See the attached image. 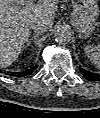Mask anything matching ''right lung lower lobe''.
<instances>
[{"label": "right lung lower lobe", "mask_w": 100, "mask_h": 118, "mask_svg": "<svg viewBox=\"0 0 100 118\" xmlns=\"http://www.w3.org/2000/svg\"><path fill=\"white\" fill-rule=\"evenodd\" d=\"M37 67L34 66V67H31L30 69H27L25 71H22V72H17V73H10L11 76H18V77H25L29 74H31Z\"/></svg>", "instance_id": "98d812e1"}]
</instances>
